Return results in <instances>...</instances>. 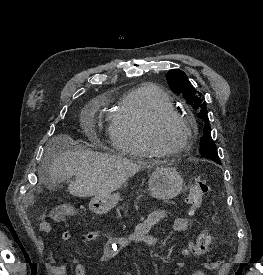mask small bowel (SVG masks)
<instances>
[{
	"instance_id": "obj_1",
	"label": "small bowel",
	"mask_w": 263,
	"mask_h": 275,
	"mask_svg": "<svg viewBox=\"0 0 263 275\" xmlns=\"http://www.w3.org/2000/svg\"><path fill=\"white\" fill-rule=\"evenodd\" d=\"M169 213L166 210H155L149 214V216L142 222H140L135 230L126 236L115 237L108 240L102 249L101 261L108 262L112 260L117 253L130 243H144L147 246L154 247L157 243L156 239L150 235V231L154 226L164 221L168 217ZM192 219L188 217H175L173 220V230L182 232L189 229L192 226ZM40 229L46 234L51 235L53 230L48 222H41ZM72 239L70 232L65 231L61 234V240L69 242ZM99 240V234L96 231H89L84 235V241L96 242ZM40 250H44V243L42 240L38 241ZM74 262L75 275H87L85 267L79 262ZM184 267V263L180 262L175 269V275ZM47 269L52 275H67L68 264L61 263L56 264L52 261L47 263Z\"/></svg>"
}]
</instances>
